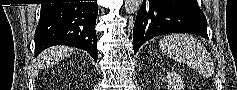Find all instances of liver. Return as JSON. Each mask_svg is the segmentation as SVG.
Returning a JSON list of instances; mask_svg holds the SVG:
<instances>
[{"label":"liver","mask_w":237,"mask_h":90,"mask_svg":"<svg viewBox=\"0 0 237 90\" xmlns=\"http://www.w3.org/2000/svg\"><path fill=\"white\" fill-rule=\"evenodd\" d=\"M70 52H72L70 48H51V50L43 52L42 56H40V60H44L47 64H54V62H57L60 58H66Z\"/></svg>","instance_id":"obj_1"}]
</instances>
